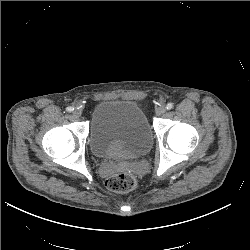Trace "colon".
I'll return each instance as SVG.
<instances>
[{
	"instance_id": "obj_1",
	"label": "colon",
	"mask_w": 250,
	"mask_h": 250,
	"mask_svg": "<svg viewBox=\"0 0 250 250\" xmlns=\"http://www.w3.org/2000/svg\"><path fill=\"white\" fill-rule=\"evenodd\" d=\"M106 187L115 193H128L138 186V178L129 173H118L106 180Z\"/></svg>"
}]
</instances>
